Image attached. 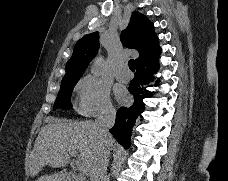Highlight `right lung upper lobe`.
I'll return each instance as SVG.
<instances>
[{
	"instance_id": "cb5924a9",
	"label": "right lung upper lobe",
	"mask_w": 228,
	"mask_h": 181,
	"mask_svg": "<svg viewBox=\"0 0 228 181\" xmlns=\"http://www.w3.org/2000/svg\"><path fill=\"white\" fill-rule=\"evenodd\" d=\"M121 41L127 48L139 52L136 65L147 59L159 49L158 38L153 24L143 14L133 12L128 27L121 33ZM99 48L98 32L83 36L75 47L70 60L66 65V74L62 82L79 80L87 64L95 57Z\"/></svg>"
}]
</instances>
